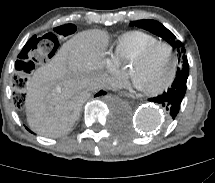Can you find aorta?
Instances as JSON below:
<instances>
[{"label": "aorta", "instance_id": "obj_1", "mask_svg": "<svg viewBox=\"0 0 215 183\" xmlns=\"http://www.w3.org/2000/svg\"><path fill=\"white\" fill-rule=\"evenodd\" d=\"M163 119L164 114L157 106L146 104L135 112L136 127L146 132L158 129L162 125Z\"/></svg>", "mask_w": 215, "mask_h": 183}]
</instances>
